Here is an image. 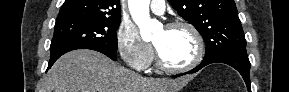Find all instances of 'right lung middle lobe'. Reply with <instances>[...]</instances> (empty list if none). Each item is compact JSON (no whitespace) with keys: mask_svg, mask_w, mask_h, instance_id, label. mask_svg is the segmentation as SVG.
<instances>
[{"mask_svg":"<svg viewBox=\"0 0 289 92\" xmlns=\"http://www.w3.org/2000/svg\"><path fill=\"white\" fill-rule=\"evenodd\" d=\"M120 19L66 18L56 20L51 41V58L75 49H100L117 51L116 30Z\"/></svg>","mask_w":289,"mask_h":92,"instance_id":"obj_1","label":"right lung middle lobe"}]
</instances>
